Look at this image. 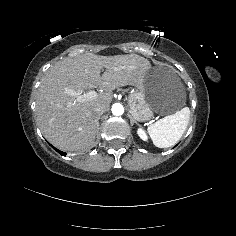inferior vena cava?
<instances>
[{
	"label": "inferior vena cava",
	"mask_w": 236,
	"mask_h": 236,
	"mask_svg": "<svg viewBox=\"0 0 236 236\" xmlns=\"http://www.w3.org/2000/svg\"><path fill=\"white\" fill-rule=\"evenodd\" d=\"M105 112V110L101 106H97L94 108L95 117L98 120L100 116Z\"/></svg>",
	"instance_id": "obj_1"
}]
</instances>
